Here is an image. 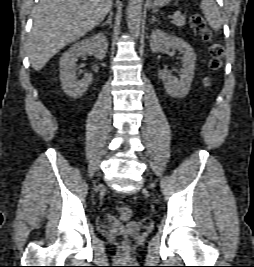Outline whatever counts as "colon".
I'll return each instance as SVG.
<instances>
[{
    "instance_id": "obj_1",
    "label": "colon",
    "mask_w": 254,
    "mask_h": 267,
    "mask_svg": "<svg viewBox=\"0 0 254 267\" xmlns=\"http://www.w3.org/2000/svg\"><path fill=\"white\" fill-rule=\"evenodd\" d=\"M190 23L192 29L205 41L209 42V67L211 71L216 72L220 70L223 64L225 53L223 45L220 42L214 40L211 30L209 29L205 19L200 14H194L191 17ZM210 83L211 78L206 77L204 79V85L209 86ZM118 215L121 220H128L132 215V211L128 206H121L118 210ZM124 244L128 245L129 241L125 239Z\"/></svg>"
}]
</instances>
